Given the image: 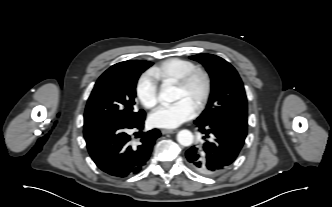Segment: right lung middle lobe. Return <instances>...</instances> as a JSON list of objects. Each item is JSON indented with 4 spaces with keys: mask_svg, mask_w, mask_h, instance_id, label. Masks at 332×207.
<instances>
[{
    "mask_svg": "<svg viewBox=\"0 0 332 207\" xmlns=\"http://www.w3.org/2000/svg\"><path fill=\"white\" fill-rule=\"evenodd\" d=\"M152 64L144 60H128L106 70L88 99L84 128L99 124H129L145 116L143 110L135 109V89L141 73Z\"/></svg>",
    "mask_w": 332,
    "mask_h": 207,
    "instance_id": "obj_1",
    "label": "right lung middle lobe"
}]
</instances>
